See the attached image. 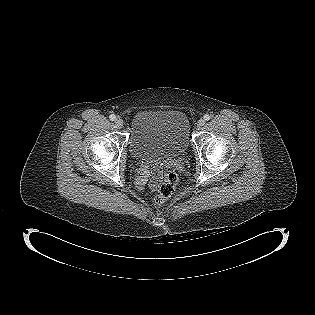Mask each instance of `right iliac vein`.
<instances>
[{"mask_svg": "<svg viewBox=\"0 0 315 315\" xmlns=\"http://www.w3.org/2000/svg\"><path fill=\"white\" fill-rule=\"evenodd\" d=\"M115 125H116L117 128L120 129V128L123 127L124 122H123V120L120 117H118V118L115 119Z\"/></svg>", "mask_w": 315, "mask_h": 315, "instance_id": "right-iliac-vein-1", "label": "right iliac vein"}]
</instances>
